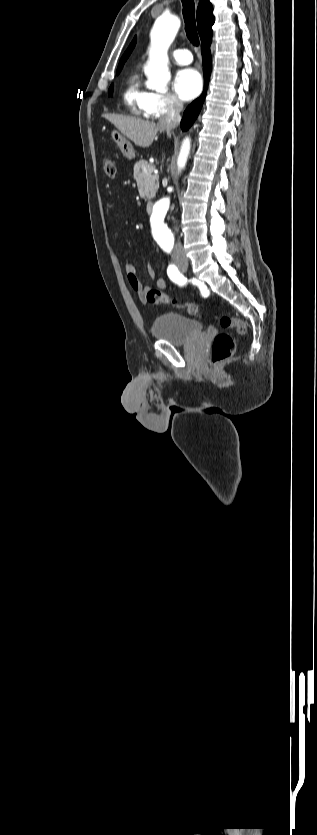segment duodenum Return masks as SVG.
<instances>
[{
	"instance_id": "1",
	"label": "duodenum",
	"mask_w": 317,
	"mask_h": 835,
	"mask_svg": "<svg viewBox=\"0 0 317 835\" xmlns=\"http://www.w3.org/2000/svg\"><path fill=\"white\" fill-rule=\"evenodd\" d=\"M153 205H154L153 201H148L147 204H146V211L150 213L153 209Z\"/></svg>"
}]
</instances>
